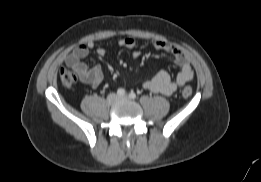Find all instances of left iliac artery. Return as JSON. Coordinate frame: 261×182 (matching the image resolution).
Instances as JSON below:
<instances>
[{"label": "left iliac artery", "instance_id": "1", "mask_svg": "<svg viewBox=\"0 0 261 182\" xmlns=\"http://www.w3.org/2000/svg\"><path fill=\"white\" fill-rule=\"evenodd\" d=\"M129 98L135 99L136 98V94L134 92H130L129 93Z\"/></svg>", "mask_w": 261, "mask_h": 182}]
</instances>
